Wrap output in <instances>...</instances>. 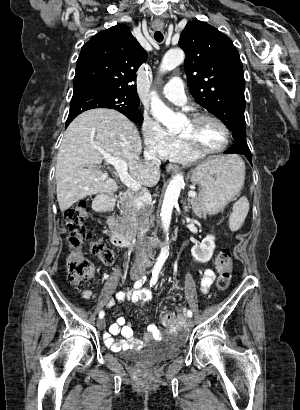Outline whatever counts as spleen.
I'll list each match as a JSON object with an SVG mask.
<instances>
[{
    "label": "spleen",
    "mask_w": 300,
    "mask_h": 410,
    "mask_svg": "<svg viewBox=\"0 0 300 410\" xmlns=\"http://www.w3.org/2000/svg\"><path fill=\"white\" fill-rule=\"evenodd\" d=\"M243 173H245V165H243ZM249 211L248 199L243 196L233 205V212L229 217V227L231 231H237L244 222Z\"/></svg>",
    "instance_id": "spleen-1"
}]
</instances>
